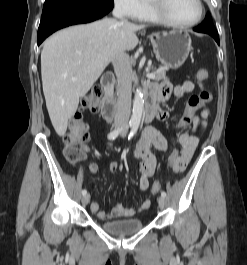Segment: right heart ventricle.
<instances>
[{
	"label": "right heart ventricle",
	"mask_w": 247,
	"mask_h": 265,
	"mask_svg": "<svg viewBox=\"0 0 247 265\" xmlns=\"http://www.w3.org/2000/svg\"><path fill=\"white\" fill-rule=\"evenodd\" d=\"M146 4V8L144 10V12L142 13V15L140 16V18H138L141 21H146V22H151V23H158L159 21L157 20V18L153 15V13L150 10L149 4Z\"/></svg>",
	"instance_id": "e07e8e85"
}]
</instances>
